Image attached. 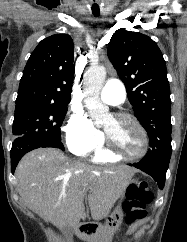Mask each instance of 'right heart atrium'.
Returning a JSON list of instances; mask_svg holds the SVG:
<instances>
[{
	"label": "right heart atrium",
	"mask_w": 187,
	"mask_h": 242,
	"mask_svg": "<svg viewBox=\"0 0 187 242\" xmlns=\"http://www.w3.org/2000/svg\"><path fill=\"white\" fill-rule=\"evenodd\" d=\"M63 132L66 146L78 156L89 155L103 143L101 132L81 111L74 110L68 114Z\"/></svg>",
	"instance_id": "obj_1"
}]
</instances>
